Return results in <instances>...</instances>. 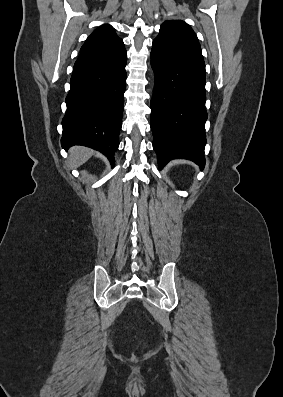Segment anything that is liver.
<instances>
[{
	"label": "liver",
	"instance_id": "6515ba94",
	"mask_svg": "<svg viewBox=\"0 0 283 397\" xmlns=\"http://www.w3.org/2000/svg\"><path fill=\"white\" fill-rule=\"evenodd\" d=\"M93 153V150L83 146L72 147L69 150V166L71 168L81 166L93 155Z\"/></svg>",
	"mask_w": 283,
	"mask_h": 397
}]
</instances>
